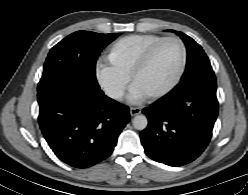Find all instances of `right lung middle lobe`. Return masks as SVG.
<instances>
[{
  "instance_id": "obj_1",
  "label": "right lung middle lobe",
  "mask_w": 248,
  "mask_h": 195,
  "mask_svg": "<svg viewBox=\"0 0 248 195\" xmlns=\"http://www.w3.org/2000/svg\"><path fill=\"white\" fill-rule=\"evenodd\" d=\"M118 36L77 31L64 38L48 54L38 92L61 83L100 89L95 75L96 60L102 49Z\"/></svg>"
}]
</instances>
